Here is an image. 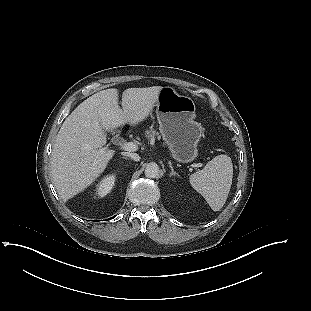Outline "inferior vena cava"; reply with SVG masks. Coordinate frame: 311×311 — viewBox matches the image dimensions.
I'll return each instance as SVG.
<instances>
[{"label":"inferior vena cava","mask_w":311,"mask_h":311,"mask_svg":"<svg viewBox=\"0 0 311 311\" xmlns=\"http://www.w3.org/2000/svg\"><path fill=\"white\" fill-rule=\"evenodd\" d=\"M124 155L129 156L131 159H133L136 162L140 161L141 159L137 153H124Z\"/></svg>","instance_id":"602c4592"}]
</instances>
